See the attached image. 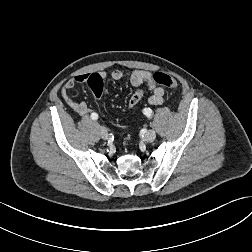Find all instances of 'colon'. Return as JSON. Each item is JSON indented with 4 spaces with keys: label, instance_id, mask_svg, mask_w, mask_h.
Here are the masks:
<instances>
[{
    "label": "colon",
    "instance_id": "1",
    "mask_svg": "<svg viewBox=\"0 0 252 252\" xmlns=\"http://www.w3.org/2000/svg\"><path fill=\"white\" fill-rule=\"evenodd\" d=\"M153 79L156 84L162 85L172 90H175L178 87L177 81L173 77L162 72L154 73ZM86 84L88 88L91 90V92L97 98H100L103 95H105L106 93L105 80L104 77H102L100 74L97 73L91 74L87 78ZM142 98H143V91L142 90L135 91L128 100V106L130 108L136 107L141 102Z\"/></svg>",
    "mask_w": 252,
    "mask_h": 252
}]
</instances>
